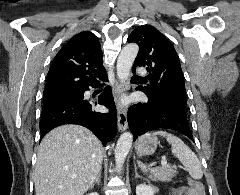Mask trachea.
Masks as SVG:
<instances>
[{
  "mask_svg": "<svg viewBox=\"0 0 240 195\" xmlns=\"http://www.w3.org/2000/svg\"><path fill=\"white\" fill-rule=\"evenodd\" d=\"M132 78H133V79H134V78H139V79H141V78H144V77H138L137 75H133Z\"/></svg>",
  "mask_w": 240,
  "mask_h": 195,
  "instance_id": "3493384b",
  "label": "trachea"
}]
</instances>
